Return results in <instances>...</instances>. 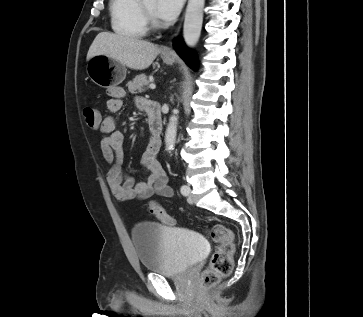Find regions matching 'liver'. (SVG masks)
Returning <instances> with one entry per match:
<instances>
[{
  "label": "liver",
  "instance_id": "liver-1",
  "mask_svg": "<svg viewBox=\"0 0 363 317\" xmlns=\"http://www.w3.org/2000/svg\"><path fill=\"white\" fill-rule=\"evenodd\" d=\"M160 52L159 46L149 41L101 32L89 48L87 61L96 55H106L130 69L143 70L152 64Z\"/></svg>",
  "mask_w": 363,
  "mask_h": 317
}]
</instances>
